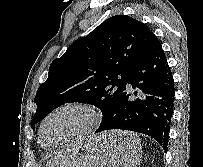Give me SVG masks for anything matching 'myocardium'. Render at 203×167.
Instances as JSON below:
<instances>
[{
  "mask_svg": "<svg viewBox=\"0 0 203 167\" xmlns=\"http://www.w3.org/2000/svg\"><path fill=\"white\" fill-rule=\"evenodd\" d=\"M66 110H76L82 112L86 116V123L85 125L69 136L68 138L49 145L44 142V128L46 124L57 114L66 111ZM100 122V116L99 113L90 105L85 104V103H80V102H70V103H64L53 110H51L41 121L40 126H39V139L42 145L46 147H51V148H57V147H62L64 145L70 144L72 142L78 141L89 134H91L99 125Z\"/></svg>",
  "mask_w": 203,
  "mask_h": 167,
  "instance_id": "1",
  "label": "myocardium"
}]
</instances>
